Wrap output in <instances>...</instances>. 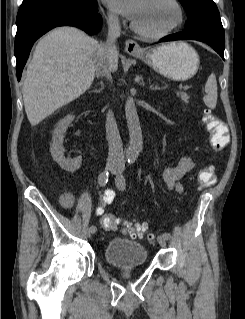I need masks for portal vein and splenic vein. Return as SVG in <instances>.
Masks as SVG:
<instances>
[{"mask_svg": "<svg viewBox=\"0 0 245 319\" xmlns=\"http://www.w3.org/2000/svg\"><path fill=\"white\" fill-rule=\"evenodd\" d=\"M182 89L187 90V89H189V86L185 85V86L182 87Z\"/></svg>", "mask_w": 245, "mask_h": 319, "instance_id": "portal-vein-and-splenic-vein-1", "label": "portal vein and splenic vein"}]
</instances>
